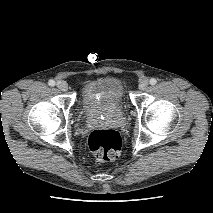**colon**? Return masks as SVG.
<instances>
[{"label":"colon","instance_id":"1","mask_svg":"<svg viewBox=\"0 0 213 213\" xmlns=\"http://www.w3.org/2000/svg\"><path fill=\"white\" fill-rule=\"evenodd\" d=\"M88 145L96 160L108 161L119 155L122 141L116 130L97 129L90 133Z\"/></svg>","mask_w":213,"mask_h":213}]
</instances>
